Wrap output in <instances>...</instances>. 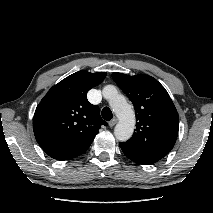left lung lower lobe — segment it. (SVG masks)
I'll use <instances>...</instances> for the list:
<instances>
[{
	"mask_svg": "<svg viewBox=\"0 0 213 213\" xmlns=\"http://www.w3.org/2000/svg\"><path fill=\"white\" fill-rule=\"evenodd\" d=\"M120 147L124 154L132 161L143 164V165H150L153 163H156L159 161L161 158L154 157V156H149L142 154L138 152L137 150L131 148L130 146L125 145L124 143L120 142Z\"/></svg>",
	"mask_w": 213,
	"mask_h": 213,
	"instance_id": "1",
	"label": "left lung lower lobe"
}]
</instances>
